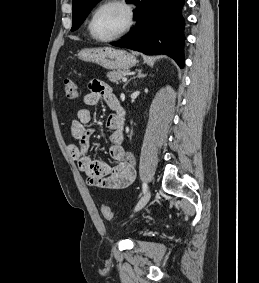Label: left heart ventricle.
I'll return each mask as SVG.
<instances>
[{"instance_id": "left-heart-ventricle-1", "label": "left heart ventricle", "mask_w": 259, "mask_h": 283, "mask_svg": "<svg viewBox=\"0 0 259 283\" xmlns=\"http://www.w3.org/2000/svg\"><path fill=\"white\" fill-rule=\"evenodd\" d=\"M127 22L125 10L119 5L101 9L93 22V32L99 38H109L120 32Z\"/></svg>"}]
</instances>
